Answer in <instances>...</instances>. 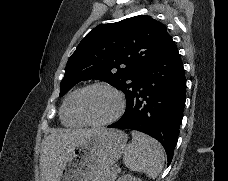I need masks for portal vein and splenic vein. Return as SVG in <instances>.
I'll list each match as a JSON object with an SVG mask.
<instances>
[{
  "instance_id": "18ae733b",
  "label": "portal vein and splenic vein",
  "mask_w": 228,
  "mask_h": 181,
  "mask_svg": "<svg viewBox=\"0 0 228 181\" xmlns=\"http://www.w3.org/2000/svg\"><path fill=\"white\" fill-rule=\"evenodd\" d=\"M113 168L117 169L118 171H121L123 169L121 166H118L117 164H114Z\"/></svg>"
}]
</instances>
